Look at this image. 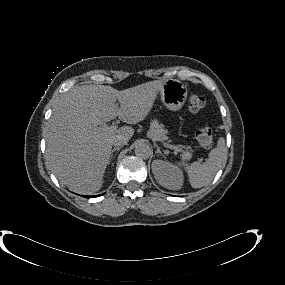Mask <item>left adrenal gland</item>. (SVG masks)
Returning a JSON list of instances; mask_svg holds the SVG:
<instances>
[{
	"label": "left adrenal gland",
	"mask_w": 285,
	"mask_h": 285,
	"mask_svg": "<svg viewBox=\"0 0 285 285\" xmlns=\"http://www.w3.org/2000/svg\"><path fill=\"white\" fill-rule=\"evenodd\" d=\"M156 148H157L156 153L162 154V152H161L160 148L158 147V145H156Z\"/></svg>",
	"instance_id": "1"
}]
</instances>
